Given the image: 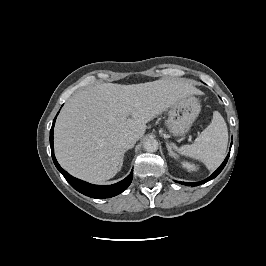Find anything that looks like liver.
Masks as SVG:
<instances>
[{"label": "liver", "mask_w": 266, "mask_h": 266, "mask_svg": "<svg viewBox=\"0 0 266 266\" xmlns=\"http://www.w3.org/2000/svg\"><path fill=\"white\" fill-rule=\"evenodd\" d=\"M198 93L189 81L176 78L131 85L104 83L79 90L56 121V158L79 179L102 183L113 178L126 151L122 137L133 134L140 139L147 122Z\"/></svg>", "instance_id": "obj_1"}]
</instances>
